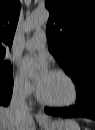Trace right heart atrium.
<instances>
[{
    "label": "right heart atrium",
    "mask_w": 95,
    "mask_h": 130,
    "mask_svg": "<svg viewBox=\"0 0 95 130\" xmlns=\"http://www.w3.org/2000/svg\"><path fill=\"white\" fill-rule=\"evenodd\" d=\"M12 88L14 94L23 98H28L34 93L33 85L18 72L14 75Z\"/></svg>",
    "instance_id": "d8ad5b80"
}]
</instances>
